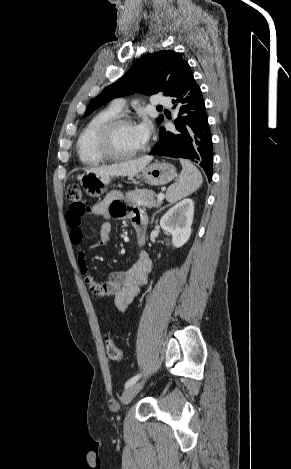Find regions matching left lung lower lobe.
Here are the masks:
<instances>
[{"instance_id":"0a47b994","label":"left lung lower lobe","mask_w":291,"mask_h":469,"mask_svg":"<svg viewBox=\"0 0 291 469\" xmlns=\"http://www.w3.org/2000/svg\"><path fill=\"white\" fill-rule=\"evenodd\" d=\"M174 108L178 109L175 120L177 131L160 128L159 142L149 155L184 158L197 163L212 179L213 144L202 92L189 68L171 95Z\"/></svg>"}]
</instances>
